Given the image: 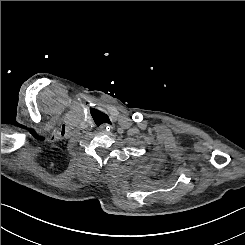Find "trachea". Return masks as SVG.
<instances>
[{
	"instance_id": "3493384b",
	"label": "trachea",
	"mask_w": 245,
	"mask_h": 245,
	"mask_svg": "<svg viewBox=\"0 0 245 245\" xmlns=\"http://www.w3.org/2000/svg\"><path fill=\"white\" fill-rule=\"evenodd\" d=\"M94 121L97 124V126H100L101 124L105 123H111L109 117L102 112H98V114L94 116Z\"/></svg>"
}]
</instances>
